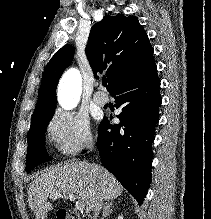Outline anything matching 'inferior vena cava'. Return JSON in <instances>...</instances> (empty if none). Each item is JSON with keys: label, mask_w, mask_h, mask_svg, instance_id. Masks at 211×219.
I'll return each instance as SVG.
<instances>
[{"label": "inferior vena cava", "mask_w": 211, "mask_h": 219, "mask_svg": "<svg viewBox=\"0 0 211 219\" xmlns=\"http://www.w3.org/2000/svg\"><path fill=\"white\" fill-rule=\"evenodd\" d=\"M103 206V199L102 198H98L95 202H94V207H93V219H97V217L99 216L100 210Z\"/></svg>", "instance_id": "obj_1"}]
</instances>
